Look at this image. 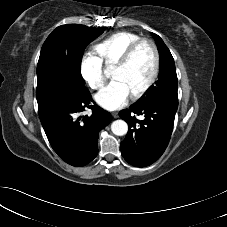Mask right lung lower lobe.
Here are the masks:
<instances>
[{
	"instance_id": "1",
	"label": "right lung lower lobe",
	"mask_w": 227,
	"mask_h": 227,
	"mask_svg": "<svg viewBox=\"0 0 227 227\" xmlns=\"http://www.w3.org/2000/svg\"><path fill=\"white\" fill-rule=\"evenodd\" d=\"M88 89H64L38 103L39 117L46 136L58 156L72 166H84L98 154V134L111 114L92 105ZM92 113L83 115L87 109Z\"/></svg>"
}]
</instances>
